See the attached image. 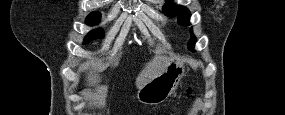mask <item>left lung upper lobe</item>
<instances>
[{
    "label": "left lung upper lobe",
    "mask_w": 285,
    "mask_h": 115,
    "mask_svg": "<svg viewBox=\"0 0 285 115\" xmlns=\"http://www.w3.org/2000/svg\"><path fill=\"white\" fill-rule=\"evenodd\" d=\"M163 13L169 16H178V22L183 25L187 26L190 24L189 19H190V12L189 10L180 5H176L170 1H168L164 6H163ZM191 32V39L188 42L187 46L188 48L193 51L194 45L196 43V37L192 33V28L190 29Z\"/></svg>",
    "instance_id": "obj_1"
}]
</instances>
